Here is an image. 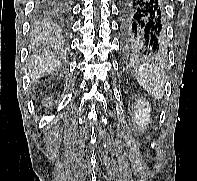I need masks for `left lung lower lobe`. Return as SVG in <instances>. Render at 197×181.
I'll use <instances>...</instances> for the list:
<instances>
[{
	"mask_svg": "<svg viewBox=\"0 0 197 181\" xmlns=\"http://www.w3.org/2000/svg\"><path fill=\"white\" fill-rule=\"evenodd\" d=\"M122 51L131 57L165 52L163 0H120Z\"/></svg>",
	"mask_w": 197,
	"mask_h": 181,
	"instance_id": "left-lung-lower-lobe-1",
	"label": "left lung lower lobe"
}]
</instances>
